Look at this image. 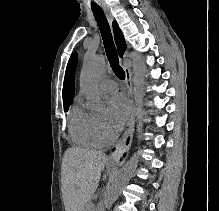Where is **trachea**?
Listing matches in <instances>:
<instances>
[{"instance_id": "trachea-1", "label": "trachea", "mask_w": 219, "mask_h": 211, "mask_svg": "<svg viewBox=\"0 0 219 211\" xmlns=\"http://www.w3.org/2000/svg\"><path fill=\"white\" fill-rule=\"evenodd\" d=\"M91 8H92V12L97 21V25L101 33V37L104 43V48H105L110 66L113 72L115 73V75L118 76L120 80H124L125 72L119 65L118 55L116 52V48L114 45L113 37L111 34V30H110V26L107 21V18L104 15L102 8L99 7V5H92Z\"/></svg>"}]
</instances>
